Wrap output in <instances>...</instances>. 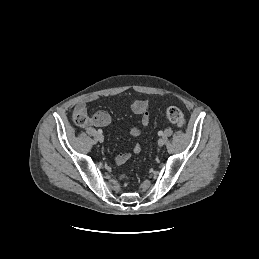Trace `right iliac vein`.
<instances>
[{"instance_id":"1","label":"right iliac vein","mask_w":259,"mask_h":259,"mask_svg":"<svg viewBox=\"0 0 259 259\" xmlns=\"http://www.w3.org/2000/svg\"><path fill=\"white\" fill-rule=\"evenodd\" d=\"M97 139H98V141H99L100 143H102V142L104 141V137H103L102 134H99V135L97 136Z\"/></svg>"}]
</instances>
